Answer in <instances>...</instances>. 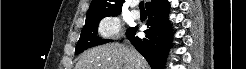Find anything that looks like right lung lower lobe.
<instances>
[{"label":"right lung lower lobe","instance_id":"right-lung-lower-lobe-1","mask_svg":"<svg viewBox=\"0 0 246 69\" xmlns=\"http://www.w3.org/2000/svg\"><path fill=\"white\" fill-rule=\"evenodd\" d=\"M146 9L148 13V28L144 31L146 37L141 39L135 35L137 27L129 28L126 36L153 69H164L172 33L169 22L162 20L167 19L169 3L167 0H155Z\"/></svg>","mask_w":246,"mask_h":69}]
</instances>
